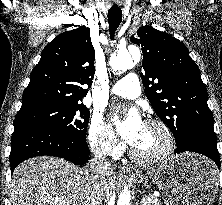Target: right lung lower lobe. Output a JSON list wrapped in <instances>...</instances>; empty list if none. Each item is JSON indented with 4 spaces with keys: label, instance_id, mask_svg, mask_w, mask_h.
<instances>
[{
    "label": "right lung lower lobe",
    "instance_id": "98d812e1",
    "mask_svg": "<svg viewBox=\"0 0 222 205\" xmlns=\"http://www.w3.org/2000/svg\"><path fill=\"white\" fill-rule=\"evenodd\" d=\"M86 139L59 132L40 124L14 126L9 156L11 172L26 159L51 155L82 165L89 160Z\"/></svg>",
    "mask_w": 222,
    "mask_h": 205
}]
</instances>
